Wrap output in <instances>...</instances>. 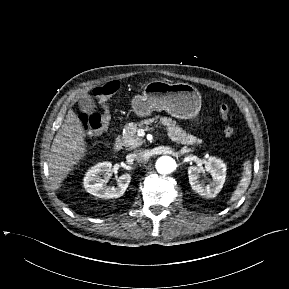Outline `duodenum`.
Instances as JSON below:
<instances>
[{"mask_svg":"<svg viewBox=\"0 0 289 289\" xmlns=\"http://www.w3.org/2000/svg\"><path fill=\"white\" fill-rule=\"evenodd\" d=\"M122 148H123V142L119 137H117L113 143L112 149L114 152H119Z\"/></svg>","mask_w":289,"mask_h":289,"instance_id":"410a0bca","label":"duodenum"}]
</instances>
